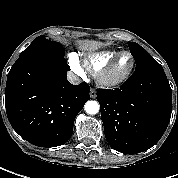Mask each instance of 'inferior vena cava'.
Returning <instances> with one entry per match:
<instances>
[{"instance_id":"602c4592","label":"inferior vena cava","mask_w":178,"mask_h":178,"mask_svg":"<svg viewBox=\"0 0 178 178\" xmlns=\"http://www.w3.org/2000/svg\"><path fill=\"white\" fill-rule=\"evenodd\" d=\"M68 80L70 83L75 84V85L81 83V79L78 76H76L75 74H73L72 72L68 73Z\"/></svg>"}]
</instances>
